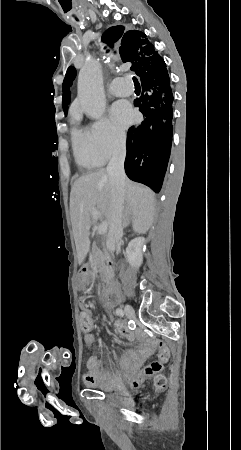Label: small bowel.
Here are the masks:
<instances>
[{"label":"small bowel","mask_w":241,"mask_h":450,"mask_svg":"<svg viewBox=\"0 0 241 450\" xmlns=\"http://www.w3.org/2000/svg\"><path fill=\"white\" fill-rule=\"evenodd\" d=\"M85 286L86 284L79 285L80 288H84ZM82 311L90 310L83 308ZM115 330L123 339L129 342H135L136 347L125 351L118 370L104 371L102 368V359L95 355L90 356L87 361L88 373L86 374V377L89 379L88 383L110 389L126 382L131 388L137 389L147 376L157 373L163 368V365L168 361L169 351L163 342H154L145 338L139 331L130 330L122 321L115 322ZM83 340L87 350L92 351L95 344L94 335L92 333H85ZM155 346L159 350L158 359L140 369L142 359L151 358L153 353L149 350Z\"/></svg>","instance_id":"c3829d8e"}]
</instances>
